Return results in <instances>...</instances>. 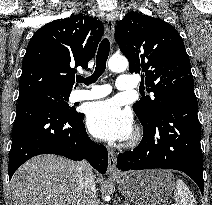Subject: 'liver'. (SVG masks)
Instances as JSON below:
<instances>
[{
    "label": "liver",
    "mask_w": 212,
    "mask_h": 205,
    "mask_svg": "<svg viewBox=\"0 0 212 205\" xmlns=\"http://www.w3.org/2000/svg\"><path fill=\"white\" fill-rule=\"evenodd\" d=\"M77 164L52 154L24 163L11 180L14 205H76Z\"/></svg>",
    "instance_id": "1"
}]
</instances>
